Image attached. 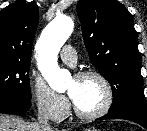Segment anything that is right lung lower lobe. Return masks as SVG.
<instances>
[{
	"mask_svg": "<svg viewBox=\"0 0 147 131\" xmlns=\"http://www.w3.org/2000/svg\"><path fill=\"white\" fill-rule=\"evenodd\" d=\"M31 106L30 103H22L8 98H0V113L4 114H24Z\"/></svg>",
	"mask_w": 147,
	"mask_h": 131,
	"instance_id": "98d812e1",
	"label": "right lung lower lobe"
}]
</instances>
